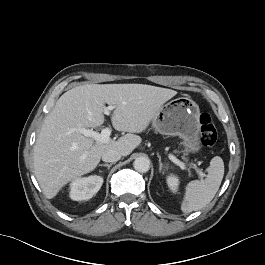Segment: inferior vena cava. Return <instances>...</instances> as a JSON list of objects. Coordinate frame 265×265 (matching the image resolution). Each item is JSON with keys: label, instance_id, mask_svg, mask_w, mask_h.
<instances>
[{"label": "inferior vena cava", "instance_id": "602c4592", "mask_svg": "<svg viewBox=\"0 0 265 265\" xmlns=\"http://www.w3.org/2000/svg\"><path fill=\"white\" fill-rule=\"evenodd\" d=\"M121 154L116 150H107L102 154L104 162L114 163L120 160Z\"/></svg>", "mask_w": 265, "mask_h": 265}]
</instances>
